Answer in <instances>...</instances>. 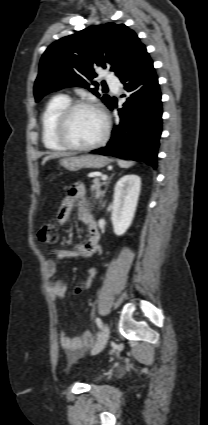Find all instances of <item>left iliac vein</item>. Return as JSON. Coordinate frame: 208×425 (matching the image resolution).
<instances>
[{
	"label": "left iliac vein",
	"mask_w": 208,
	"mask_h": 425,
	"mask_svg": "<svg viewBox=\"0 0 208 425\" xmlns=\"http://www.w3.org/2000/svg\"><path fill=\"white\" fill-rule=\"evenodd\" d=\"M109 334H110L109 327L107 324H104L101 330V333L97 339V342L91 351L92 355L98 354L104 349L105 345L108 342Z\"/></svg>",
	"instance_id": "obj_1"
}]
</instances>
